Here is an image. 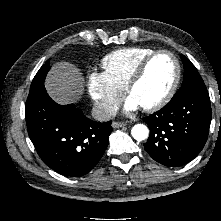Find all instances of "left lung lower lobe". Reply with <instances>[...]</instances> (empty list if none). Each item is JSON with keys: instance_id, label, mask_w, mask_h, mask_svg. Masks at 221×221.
<instances>
[{"instance_id": "0a47b994", "label": "left lung lower lobe", "mask_w": 221, "mask_h": 221, "mask_svg": "<svg viewBox=\"0 0 221 221\" xmlns=\"http://www.w3.org/2000/svg\"><path fill=\"white\" fill-rule=\"evenodd\" d=\"M211 116L206 89L173 97L163 109L143 118L150 128L144 148L155 161L165 166H182L204 147Z\"/></svg>"}]
</instances>
